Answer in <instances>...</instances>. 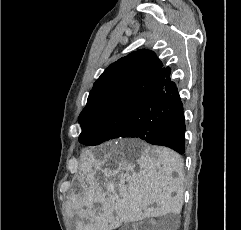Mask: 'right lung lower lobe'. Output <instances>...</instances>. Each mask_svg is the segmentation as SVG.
I'll return each mask as SVG.
<instances>
[{
  "label": "right lung lower lobe",
  "mask_w": 241,
  "mask_h": 230,
  "mask_svg": "<svg viewBox=\"0 0 241 230\" xmlns=\"http://www.w3.org/2000/svg\"><path fill=\"white\" fill-rule=\"evenodd\" d=\"M168 68L163 86L144 117L150 121L148 127L136 133H123L137 137L153 145L169 147L180 154L185 152V119L183 105L174 82H171Z\"/></svg>",
  "instance_id": "right-lung-lower-lobe-1"
}]
</instances>
